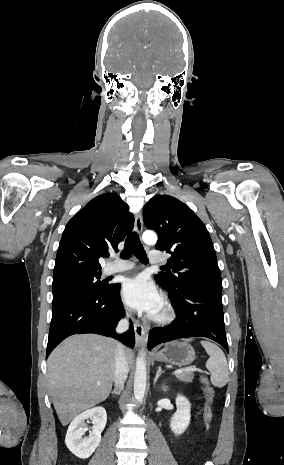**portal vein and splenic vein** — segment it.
<instances>
[{
    "label": "portal vein and splenic vein",
    "instance_id": "portal-vein-and-splenic-vein-1",
    "mask_svg": "<svg viewBox=\"0 0 284 465\" xmlns=\"http://www.w3.org/2000/svg\"><path fill=\"white\" fill-rule=\"evenodd\" d=\"M188 371H193V369H179V371H174L173 375H179V373H188ZM195 371H199V373H205V371H201V369H195Z\"/></svg>",
    "mask_w": 284,
    "mask_h": 465
}]
</instances>
